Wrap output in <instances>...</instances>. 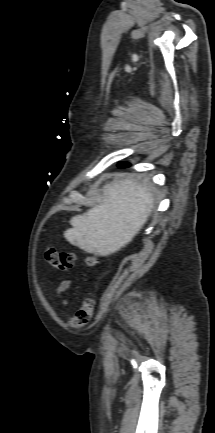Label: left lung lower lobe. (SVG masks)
<instances>
[{
    "mask_svg": "<svg viewBox=\"0 0 215 433\" xmlns=\"http://www.w3.org/2000/svg\"><path fill=\"white\" fill-rule=\"evenodd\" d=\"M121 167H129L130 165L129 164H127V165H120Z\"/></svg>",
    "mask_w": 215,
    "mask_h": 433,
    "instance_id": "0a47b994",
    "label": "left lung lower lobe"
}]
</instances>
